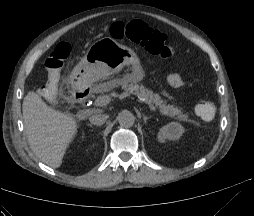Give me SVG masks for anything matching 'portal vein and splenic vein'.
Returning a JSON list of instances; mask_svg holds the SVG:
<instances>
[{
    "instance_id": "1",
    "label": "portal vein and splenic vein",
    "mask_w": 254,
    "mask_h": 216,
    "mask_svg": "<svg viewBox=\"0 0 254 216\" xmlns=\"http://www.w3.org/2000/svg\"><path fill=\"white\" fill-rule=\"evenodd\" d=\"M111 99H112V97H111L110 95H103V96H101V97H98V98L95 100V103H94V104H95L96 106H104V105H107L108 103H110ZM148 106H149V108H150L152 111H154V112L157 111V109H156L153 105L148 104Z\"/></svg>"
}]
</instances>
